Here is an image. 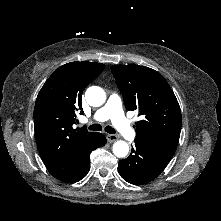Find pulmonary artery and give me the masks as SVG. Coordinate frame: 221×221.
Returning <instances> with one entry per match:
<instances>
[{
	"label": "pulmonary artery",
	"mask_w": 221,
	"mask_h": 221,
	"mask_svg": "<svg viewBox=\"0 0 221 221\" xmlns=\"http://www.w3.org/2000/svg\"><path fill=\"white\" fill-rule=\"evenodd\" d=\"M92 119L95 121L110 119L124 138L128 140L135 138L136 133L123 114L121 100L117 94L110 95L106 104L94 113Z\"/></svg>",
	"instance_id": "obj_1"
}]
</instances>
